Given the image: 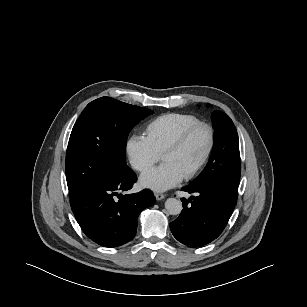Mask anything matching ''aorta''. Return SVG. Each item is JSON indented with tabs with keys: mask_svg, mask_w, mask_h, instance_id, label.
<instances>
[{
	"mask_svg": "<svg viewBox=\"0 0 307 307\" xmlns=\"http://www.w3.org/2000/svg\"><path fill=\"white\" fill-rule=\"evenodd\" d=\"M165 209L170 215H178L182 211V202L176 198H168L165 202Z\"/></svg>",
	"mask_w": 307,
	"mask_h": 307,
	"instance_id": "762f6f07",
	"label": "aorta"
}]
</instances>
